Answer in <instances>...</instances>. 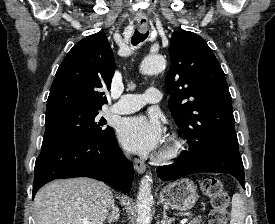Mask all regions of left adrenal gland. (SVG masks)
Masks as SVG:
<instances>
[{"instance_id": "1", "label": "left adrenal gland", "mask_w": 275, "mask_h": 224, "mask_svg": "<svg viewBox=\"0 0 275 224\" xmlns=\"http://www.w3.org/2000/svg\"><path fill=\"white\" fill-rule=\"evenodd\" d=\"M174 221L173 218H168L166 211H163V219L161 224H171Z\"/></svg>"}]
</instances>
